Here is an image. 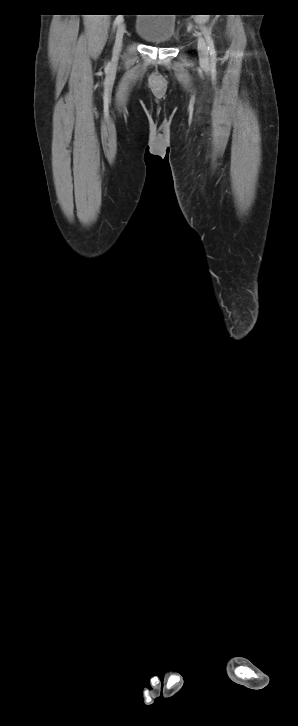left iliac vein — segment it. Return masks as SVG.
<instances>
[{
  "label": "left iliac vein",
  "mask_w": 298,
  "mask_h": 726,
  "mask_svg": "<svg viewBox=\"0 0 298 726\" xmlns=\"http://www.w3.org/2000/svg\"><path fill=\"white\" fill-rule=\"evenodd\" d=\"M198 53L202 63H207L209 60L208 48L205 40L202 37L198 38Z\"/></svg>",
  "instance_id": "1"
}]
</instances>
